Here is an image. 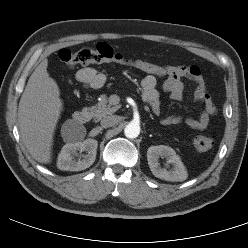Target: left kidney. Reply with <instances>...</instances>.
Masks as SVG:
<instances>
[{
	"label": "left kidney",
	"instance_id": "obj_1",
	"mask_svg": "<svg viewBox=\"0 0 248 248\" xmlns=\"http://www.w3.org/2000/svg\"><path fill=\"white\" fill-rule=\"evenodd\" d=\"M167 160V166L172 165L171 169L162 168L159 158ZM147 161L153 175L166 181L181 182L187 179V171L180 157L168 146H151L147 151Z\"/></svg>",
	"mask_w": 248,
	"mask_h": 248
}]
</instances>
